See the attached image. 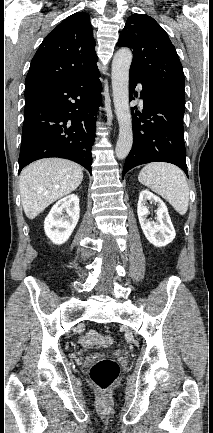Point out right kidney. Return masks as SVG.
Wrapping results in <instances>:
<instances>
[{
  "label": "right kidney",
  "instance_id": "obj_1",
  "mask_svg": "<svg viewBox=\"0 0 213 433\" xmlns=\"http://www.w3.org/2000/svg\"><path fill=\"white\" fill-rule=\"evenodd\" d=\"M79 216L78 196L71 194L62 198L52 207L45 219L44 230L46 235L54 244L65 243L76 227Z\"/></svg>",
  "mask_w": 213,
  "mask_h": 433
}]
</instances>
